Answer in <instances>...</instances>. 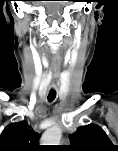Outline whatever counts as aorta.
<instances>
[{
	"label": "aorta",
	"mask_w": 118,
	"mask_h": 151,
	"mask_svg": "<svg viewBox=\"0 0 118 151\" xmlns=\"http://www.w3.org/2000/svg\"><path fill=\"white\" fill-rule=\"evenodd\" d=\"M62 137V131L59 127L48 128L41 137L42 145H59Z\"/></svg>",
	"instance_id": "762f6f07"
}]
</instances>
